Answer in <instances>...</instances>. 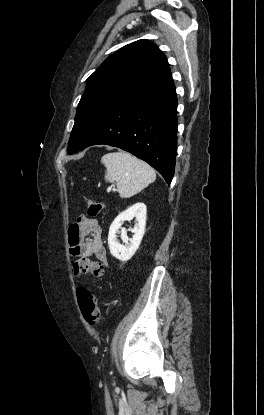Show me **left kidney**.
<instances>
[{"instance_id":"1","label":"left kidney","mask_w":264,"mask_h":415,"mask_svg":"<svg viewBox=\"0 0 264 415\" xmlns=\"http://www.w3.org/2000/svg\"><path fill=\"white\" fill-rule=\"evenodd\" d=\"M146 205L143 203H136L129 207L125 211L121 212L112 222L109 228L108 245L112 256L120 261H128L135 254L139 248L143 235L145 233L146 226ZM136 219L134 228L130 231L133 234L132 238H128L127 230L122 228L124 221ZM121 229V231H119ZM117 233H120V237L125 245L120 244L117 240Z\"/></svg>"}]
</instances>
